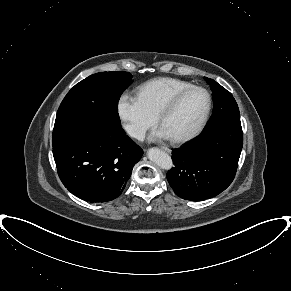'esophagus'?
<instances>
[{"label": "esophagus", "mask_w": 291, "mask_h": 291, "mask_svg": "<svg viewBox=\"0 0 291 291\" xmlns=\"http://www.w3.org/2000/svg\"><path fill=\"white\" fill-rule=\"evenodd\" d=\"M160 148H161L162 150L166 151V152H170V151H171L169 148L164 147V146H161Z\"/></svg>", "instance_id": "esophagus-1"}]
</instances>
